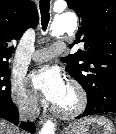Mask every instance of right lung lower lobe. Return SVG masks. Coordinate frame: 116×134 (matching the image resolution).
<instances>
[{
	"label": "right lung lower lobe",
	"instance_id": "1",
	"mask_svg": "<svg viewBox=\"0 0 116 134\" xmlns=\"http://www.w3.org/2000/svg\"><path fill=\"white\" fill-rule=\"evenodd\" d=\"M0 117L10 121L15 125L19 123L18 109L13 103L0 109ZM21 128L31 133H34L36 129L34 123L32 122H22Z\"/></svg>",
	"mask_w": 116,
	"mask_h": 134
}]
</instances>
